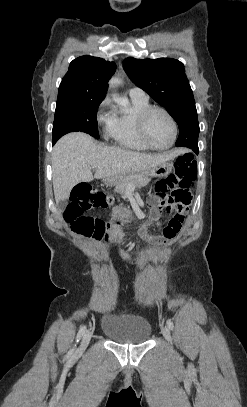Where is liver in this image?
I'll return each mask as SVG.
<instances>
[{"label":"liver","mask_w":247,"mask_h":407,"mask_svg":"<svg viewBox=\"0 0 247 407\" xmlns=\"http://www.w3.org/2000/svg\"><path fill=\"white\" fill-rule=\"evenodd\" d=\"M182 152V149H176L164 153L145 154L100 145L85 133H69L55 144L52 152L55 200L56 202L66 200L71 189L80 182L150 170L174 159ZM92 169H96L94 176Z\"/></svg>","instance_id":"obj_1"}]
</instances>
